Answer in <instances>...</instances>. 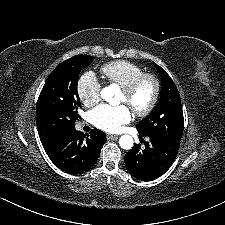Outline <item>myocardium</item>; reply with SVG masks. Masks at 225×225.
Returning <instances> with one entry per match:
<instances>
[{"label":"myocardium","mask_w":225,"mask_h":225,"mask_svg":"<svg viewBox=\"0 0 225 225\" xmlns=\"http://www.w3.org/2000/svg\"><path fill=\"white\" fill-rule=\"evenodd\" d=\"M150 81L153 85V93L149 103L142 109H134L133 113L139 117H144L150 114L155 108L161 91V85L159 79L150 73H142L139 76L131 80L126 86L122 88V92L126 96H131L137 88L144 82Z\"/></svg>","instance_id":"myocardium-1"}]
</instances>
